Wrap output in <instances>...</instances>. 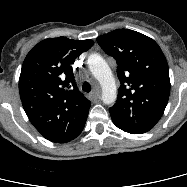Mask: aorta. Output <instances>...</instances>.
<instances>
[{
	"label": "aorta",
	"instance_id": "obj_1",
	"mask_svg": "<svg viewBox=\"0 0 187 187\" xmlns=\"http://www.w3.org/2000/svg\"><path fill=\"white\" fill-rule=\"evenodd\" d=\"M89 70L102 88V101L113 104L117 98L115 79L107 62L99 54H91L87 59Z\"/></svg>",
	"mask_w": 187,
	"mask_h": 187
}]
</instances>
